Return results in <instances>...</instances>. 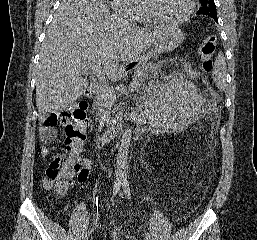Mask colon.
<instances>
[{"instance_id":"1","label":"colon","mask_w":257,"mask_h":240,"mask_svg":"<svg viewBox=\"0 0 257 240\" xmlns=\"http://www.w3.org/2000/svg\"><path fill=\"white\" fill-rule=\"evenodd\" d=\"M216 45L217 38L213 34L206 35L200 43L198 54L205 72L212 70ZM87 113V104L79 102L59 114H51L44 122L43 128L49 136H53L58 124L65 127L66 151L52 159L44 178V184L59 195L71 187L76 176L84 174V169L79 163V152L85 141Z\"/></svg>"}]
</instances>
